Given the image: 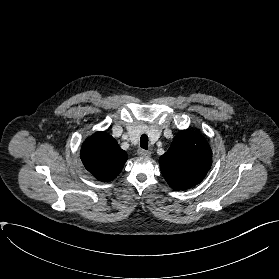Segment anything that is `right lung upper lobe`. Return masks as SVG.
<instances>
[{"label":"right lung upper lobe","instance_id":"obj_1","mask_svg":"<svg viewBox=\"0 0 279 279\" xmlns=\"http://www.w3.org/2000/svg\"><path fill=\"white\" fill-rule=\"evenodd\" d=\"M127 158V153L106 132H97L87 138L81 149V160L85 168L102 182L117 177Z\"/></svg>","mask_w":279,"mask_h":279}]
</instances>
